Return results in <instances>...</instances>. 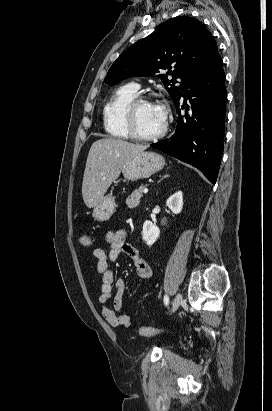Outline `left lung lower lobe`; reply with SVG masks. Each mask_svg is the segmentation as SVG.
<instances>
[{
    "instance_id": "left-lung-lower-lobe-1",
    "label": "left lung lower lobe",
    "mask_w": 272,
    "mask_h": 411,
    "mask_svg": "<svg viewBox=\"0 0 272 411\" xmlns=\"http://www.w3.org/2000/svg\"><path fill=\"white\" fill-rule=\"evenodd\" d=\"M188 88L175 104V132L151 146L200 169L215 184L223 153L227 97L219 53ZM181 109H185V115H181Z\"/></svg>"
}]
</instances>
